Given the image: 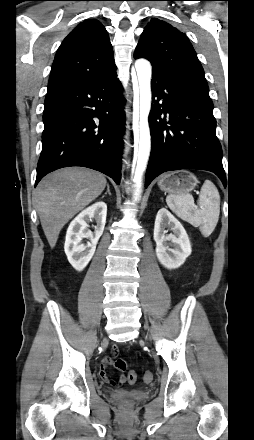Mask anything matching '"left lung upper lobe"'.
Returning <instances> with one entry per match:
<instances>
[{"mask_svg":"<svg viewBox=\"0 0 254 440\" xmlns=\"http://www.w3.org/2000/svg\"><path fill=\"white\" fill-rule=\"evenodd\" d=\"M134 58L148 59L153 68L209 97L208 84L195 50L188 38L170 24L151 19L142 33Z\"/></svg>","mask_w":254,"mask_h":440,"instance_id":"left-lung-upper-lobe-1","label":"left lung upper lobe"}]
</instances>
